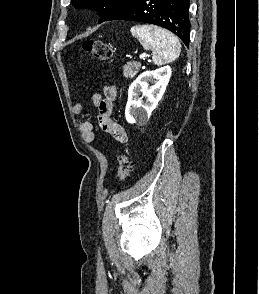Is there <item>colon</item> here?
I'll return each instance as SVG.
<instances>
[{"label": "colon", "instance_id": "1", "mask_svg": "<svg viewBox=\"0 0 259 294\" xmlns=\"http://www.w3.org/2000/svg\"><path fill=\"white\" fill-rule=\"evenodd\" d=\"M83 48L98 60H108L112 56V47L110 44L99 39L86 40L83 43ZM118 163V177L124 180L131 174L133 168L132 159L128 154L122 153L118 158Z\"/></svg>", "mask_w": 259, "mask_h": 294}]
</instances>
